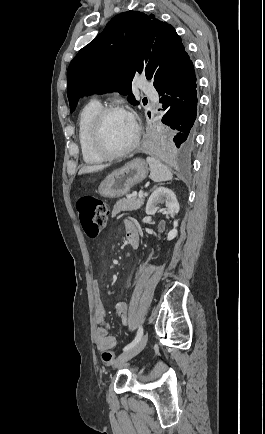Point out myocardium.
I'll return each instance as SVG.
<instances>
[{
  "instance_id": "f54148a6",
  "label": "myocardium",
  "mask_w": 265,
  "mask_h": 434,
  "mask_svg": "<svg viewBox=\"0 0 265 434\" xmlns=\"http://www.w3.org/2000/svg\"><path fill=\"white\" fill-rule=\"evenodd\" d=\"M116 113L126 114L125 109L120 106H105L99 111L94 122L93 141L99 153L108 160L122 159L132 154L140 145L141 133L136 126V137L133 144L126 150L115 152L111 150L105 140L106 122L110 116Z\"/></svg>"
}]
</instances>
